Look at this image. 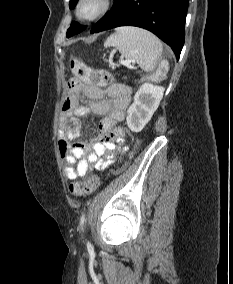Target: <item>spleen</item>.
I'll list each match as a JSON object with an SVG mask.
<instances>
[{
  "mask_svg": "<svg viewBox=\"0 0 233 284\" xmlns=\"http://www.w3.org/2000/svg\"><path fill=\"white\" fill-rule=\"evenodd\" d=\"M105 47H116L127 60L135 61L145 72L157 71L163 67L158 65L163 47L160 40L141 28L124 26L106 40ZM168 69L165 67L164 71Z\"/></svg>",
  "mask_w": 233,
  "mask_h": 284,
  "instance_id": "1",
  "label": "spleen"
}]
</instances>
